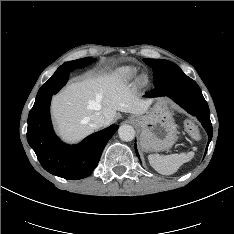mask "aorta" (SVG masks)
I'll list each match as a JSON object with an SVG mask.
<instances>
[{"mask_svg":"<svg viewBox=\"0 0 234 234\" xmlns=\"http://www.w3.org/2000/svg\"><path fill=\"white\" fill-rule=\"evenodd\" d=\"M119 138L122 141H132L135 137V130L131 125H122L118 129Z\"/></svg>","mask_w":234,"mask_h":234,"instance_id":"obj_1","label":"aorta"}]
</instances>
